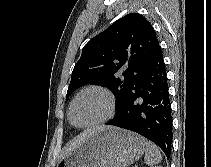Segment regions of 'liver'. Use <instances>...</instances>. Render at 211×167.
I'll use <instances>...</instances> for the list:
<instances>
[{"mask_svg":"<svg viewBox=\"0 0 211 167\" xmlns=\"http://www.w3.org/2000/svg\"><path fill=\"white\" fill-rule=\"evenodd\" d=\"M105 128H107V126H96V127L89 128V129L85 130L78 137L74 138L72 141H70L66 145V147L64 148V150L62 152V157H64L67 153H69L70 151L74 150L75 148L79 147L83 142H85V140L89 136H91L95 132H97L99 130H103Z\"/></svg>","mask_w":211,"mask_h":167,"instance_id":"1","label":"liver"}]
</instances>
